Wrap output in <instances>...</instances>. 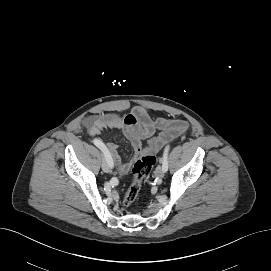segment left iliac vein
<instances>
[{"mask_svg": "<svg viewBox=\"0 0 271 271\" xmlns=\"http://www.w3.org/2000/svg\"><path fill=\"white\" fill-rule=\"evenodd\" d=\"M164 170L161 166H158L155 170V176L158 178H163L164 177Z\"/></svg>", "mask_w": 271, "mask_h": 271, "instance_id": "4c4485c4", "label": "left iliac vein"}]
</instances>
